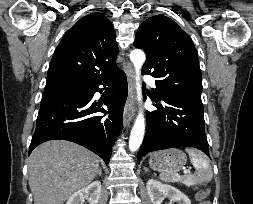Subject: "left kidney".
Listing matches in <instances>:
<instances>
[{
    "mask_svg": "<svg viewBox=\"0 0 253 204\" xmlns=\"http://www.w3.org/2000/svg\"><path fill=\"white\" fill-rule=\"evenodd\" d=\"M146 188L152 204H161L165 197H169L171 201L177 202V204H191L190 199L184 193L154 179L147 181Z\"/></svg>",
    "mask_w": 253,
    "mask_h": 204,
    "instance_id": "left-kidney-1",
    "label": "left kidney"
}]
</instances>
